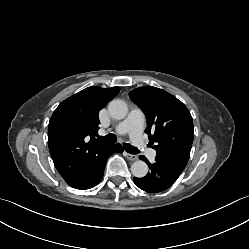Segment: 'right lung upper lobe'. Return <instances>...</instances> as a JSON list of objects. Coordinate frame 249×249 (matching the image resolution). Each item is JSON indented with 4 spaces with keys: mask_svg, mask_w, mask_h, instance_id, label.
<instances>
[{
    "mask_svg": "<svg viewBox=\"0 0 249 249\" xmlns=\"http://www.w3.org/2000/svg\"><path fill=\"white\" fill-rule=\"evenodd\" d=\"M120 91L119 87H88L67 98L54 111L48 125V145L54 165L72 184L97 150L107 145L95 138L99 111Z\"/></svg>",
    "mask_w": 249,
    "mask_h": 249,
    "instance_id": "cb5924a9",
    "label": "right lung upper lobe"
}]
</instances>
